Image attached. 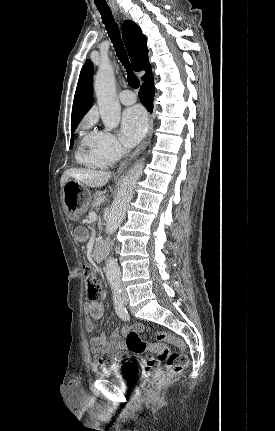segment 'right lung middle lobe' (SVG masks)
I'll use <instances>...</instances> for the list:
<instances>
[{
	"label": "right lung middle lobe",
	"mask_w": 275,
	"mask_h": 431,
	"mask_svg": "<svg viewBox=\"0 0 275 431\" xmlns=\"http://www.w3.org/2000/svg\"><path fill=\"white\" fill-rule=\"evenodd\" d=\"M76 128H77V126H75V127H72V128H71L72 133L75 131V129H76ZM73 142H74V139H73V137H72V138H71V142H70V147H72Z\"/></svg>",
	"instance_id": "1"
}]
</instances>
